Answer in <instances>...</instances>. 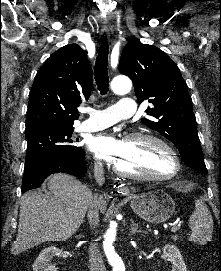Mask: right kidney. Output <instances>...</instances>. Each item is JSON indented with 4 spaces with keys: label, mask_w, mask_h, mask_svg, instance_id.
I'll return each instance as SVG.
<instances>
[{
    "label": "right kidney",
    "mask_w": 221,
    "mask_h": 271,
    "mask_svg": "<svg viewBox=\"0 0 221 271\" xmlns=\"http://www.w3.org/2000/svg\"><path fill=\"white\" fill-rule=\"evenodd\" d=\"M63 251L55 245H49L40 251L33 263V271H57L55 265L51 263L53 255H61Z\"/></svg>",
    "instance_id": "1"
}]
</instances>
